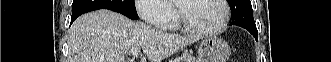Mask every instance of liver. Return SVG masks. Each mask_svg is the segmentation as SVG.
Listing matches in <instances>:
<instances>
[{"label":"liver","instance_id":"obj_1","mask_svg":"<svg viewBox=\"0 0 331 62\" xmlns=\"http://www.w3.org/2000/svg\"><path fill=\"white\" fill-rule=\"evenodd\" d=\"M200 36L166 33L109 10L87 13L69 32L68 62H125L132 48H142L150 62H161Z\"/></svg>","mask_w":331,"mask_h":62}]
</instances>
